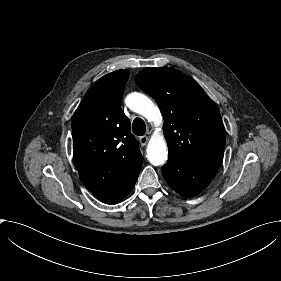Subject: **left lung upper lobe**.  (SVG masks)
<instances>
[{
    "label": "left lung upper lobe",
    "mask_w": 281,
    "mask_h": 281,
    "mask_svg": "<svg viewBox=\"0 0 281 281\" xmlns=\"http://www.w3.org/2000/svg\"><path fill=\"white\" fill-rule=\"evenodd\" d=\"M137 85L158 103L164 117L169 158L220 165L225 129L219 110L195 80L171 68H145Z\"/></svg>",
    "instance_id": "1"
}]
</instances>
